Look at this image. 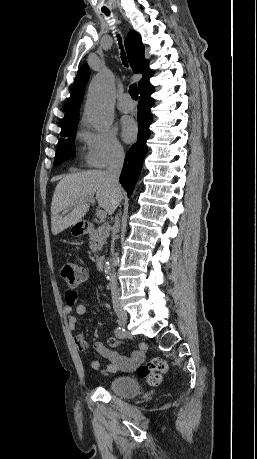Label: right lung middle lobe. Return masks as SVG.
I'll return each instance as SVG.
<instances>
[{
    "mask_svg": "<svg viewBox=\"0 0 257 459\" xmlns=\"http://www.w3.org/2000/svg\"><path fill=\"white\" fill-rule=\"evenodd\" d=\"M76 129L77 126H74L61 132L62 138H60L58 143L54 164L57 165L74 156Z\"/></svg>",
    "mask_w": 257,
    "mask_h": 459,
    "instance_id": "right-lung-middle-lobe-1",
    "label": "right lung middle lobe"
}]
</instances>
